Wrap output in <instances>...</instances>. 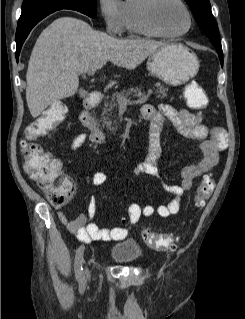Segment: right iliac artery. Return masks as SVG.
Listing matches in <instances>:
<instances>
[{"mask_svg":"<svg viewBox=\"0 0 245 319\" xmlns=\"http://www.w3.org/2000/svg\"><path fill=\"white\" fill-rule=\"evenodd\" d=\"M83 253H84V247L80 246L76 252L75 264H74L76 278L81 285H84V275H83V268H82Z\"/></svg>","mask_w":245,"mask_h":319,"instance_id":"right-iliac-artery-1","label":"right iliac artery"}]
</instances>
